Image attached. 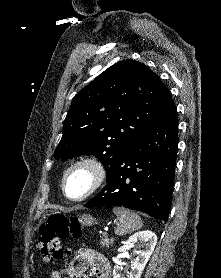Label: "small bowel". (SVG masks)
Instances as JSON below:
<instances>
[{
    "mask_svg": "<svg viewBox=\"0 0 221 278\" xmlns=\"http://www.w3.org/2000/svg\"><path fill=\"white\" fill-rule=\"evenodd\" d=\"M69 278H110L106 258L93 250H79L68 268Z\"/></svg>",
    "mask_w": 221,
    "mask_h": 278,
    "instance_id": "obj_1",
    "label": "small bowel"
}]
</instances>
